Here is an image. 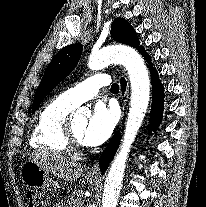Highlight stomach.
Instances as JSON below:
<instances>
[{"label": "stomach", "mask_w": 206, "mask_h": 207, "mask_svg": "<svg viewBox=\"0 0 206 207\" xmlns=\"http://www.w3.org/2000/svg\"><path fill=\"white\" fill-rule=\"evenodd\" d=\"M20 178L28 187L47 191L57 189V183L53 180L50 173L31 160L21 165ZM86 180L91 184L95 183L93 178L86 177Z\"/></svg>", "instance_id": "obj_1"}]
</instances>
